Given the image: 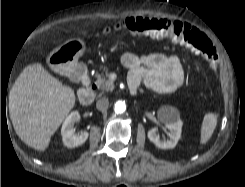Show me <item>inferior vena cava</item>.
<instances>
[{
  "label": "inferior vena cava",
  "instance_id": "obj_1",
  "mask_svg": "<svg viewBox=\"0 0 245 187\" xmlns=\"http://www.w3.org/2000/svg\"><path fill=\"white\" fill-rule=\"evenodd\" d=\"M96 107L99 111H106L109 107V100L106 97L100 98L97 103Z\"/></svg>",
  "mask_w": 245,
  "mask_h": 187
}]
</instances>
